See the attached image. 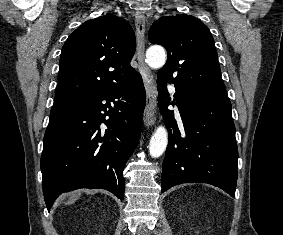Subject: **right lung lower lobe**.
Here are the masks:
<instances>
[{
	"label": "right lung lower lobe",
	"instance_id": "98d812e1",
	"mask_svg": "<svg viewBox=\"0 0 283 235\" xmlns=\"http://www.w3.org/2000/svg\"><path fill=\"white\" fill-rule=\"evenodd\" d=\"M145 101L138 73L50 118L41 157L48 210L61 193L78 188L106 189L124 199L123 169L139 141Z\"/></svg>",
	"mask_w": 283,
	"mask_h": 235
}]
</instances>
